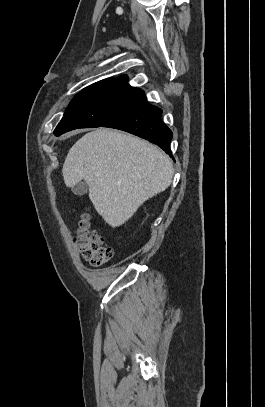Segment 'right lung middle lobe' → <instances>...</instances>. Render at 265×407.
I'll list each match as a JSON object with an SVG mask.
<instances>
[{"mask_svg": "<svg viewBox=\"0 0 265 407\" xmlns=\"http://www.w3.org/2000/svg\"><path fill=\"white\" fill-rule=\"evenodd\" d=\"M146 102L144 91L124 80L105 79L78 93L71 101L54 134L100 127Z\"/></svg>", "mask_w": 265, "mask_h": 407, "instance_id": "right-lung-middle-lobe-1", "label": "right lung middle lobe"}]
</instances>
